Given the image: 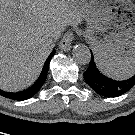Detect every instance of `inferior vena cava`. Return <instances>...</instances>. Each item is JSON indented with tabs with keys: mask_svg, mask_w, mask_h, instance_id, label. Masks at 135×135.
<instances>
[{
	"mask_svg": "<svg viewBox=\"0 0 135 135\" xmlns=\"http://www.w3.org/2000/svg\"><path fill=\"white\" fill-rule=\"evenodd\" d=\"M60 37L59 34H54L49 38V44L54 47V43L57 41V39Z\"/></svg>",
	"mask_w": 135,
	"mask_h": 135,
	"instance_id": "602c4592",
	"label": "inferior vena cava"
}]
</instances>
